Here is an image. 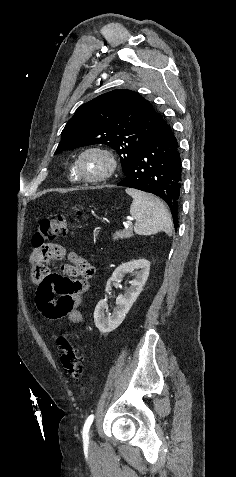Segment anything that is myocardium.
<instances>
[{
  "label": "myocardium",
  "instance_id": "f54148a6",
  "mask_svg": "<svg viewBox=\"0 0 236 477\" xmlns=\"http://www.w3.org/2000/svg\"><path fill=\"white\" fill-rule=\"evenodd\" d=\"M90 153H95V154H98V155L102 156L107 162L106 170L98 176L89 177V176L84 175L81 171V168H80L81 160L84 158V156H86L87 154H90ZM116 169H117V161H116V158L113 155V153L111 151H109V150H107L103 147H99V146H91V147H88V148L84 149L78 155V157L76 158L75 164H74V171H75V173L78 177V180L82 181V182H86V183H93V184L101 183V182L106 181L107 179H109L110 177L113 176Z\"/></svg>",
  "mask_w": 236,
  "mask_h": 477
}]
</instances>
